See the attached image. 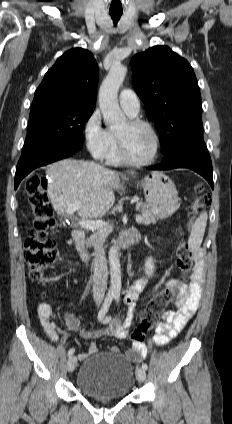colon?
Listing matches in <instances>:
<instances>
[{
	"mask_svg": "<svg viewBox=\"0 0 232 424\" xmlns=\"http://www.w3.org/2000/svg\"><path fill=\"white\" fill-rule=\"evenodd\" d=\"M47 181L43 175H32L26 184V193L33 215L34 226L24 244V258L32 280L40 281L44 272L58 259V251L51 235L56 229V220L47 195ZM203 187L196 186L197 196L189 207L192 221L208 205V197L202 194ZM191 249L186 241H181L177 248V266L181 278L176 284L166 286L157 292L142 311L140 323L134 329L128 343L143 344L148 332L156 325L167 306L178 295L182 285L181 279L193 268Z\"/></svg>",
	"mask_w": 232,
	"mask_h": 424,
	"instance_id": "colon-1",
	"label": "colon"
}]
</instances>
